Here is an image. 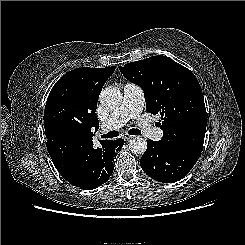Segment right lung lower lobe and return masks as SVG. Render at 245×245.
Returning a JSON list of instances; mask_svg holds the SVG:
<instances>
[{
    "instance_id": "right-lung-lower-lobe-1",
    "label": "right lung lower lobe",
    "mask_w": 245,
    "mask_h": 245,
    "mask_svg": "<svg viewBox=\"0 0 245 245\" xmlns=\"http://www.w3.org/2000/svg\"><path fill=\"white\" fill-rule=\"evenodd\" d=\"M100 143L102 148L94 149L92 145L71 157L60 152L61 147H64V143L60 142L50 156L65 180L80 189L92 190L109 179L114 169V159L124 144L121 139L103 140Z\"/></svg>"
}]
</instances>
